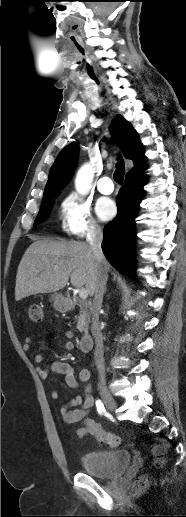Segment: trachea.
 I'll return each mask as SVG.
<instances>
[{"mask_svg":"<svg viewBox=\"0 0 186 517\" xmlns=\"http://www.w3.org/2000/svg\"><path fill=\"white\" fill-rule=\"evenodd\" d=\"M124 174H125V164H124V161H123L122 157H119L117 165H116V170H115L114 175H113L114 180L117 183L122 184L123 183Z\"/></svg>","mask_w":186,"mask_h":517,"instance_id":"1","label":"trachea"}]
</instances>
